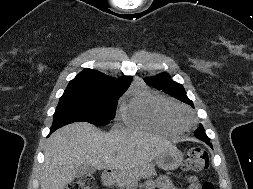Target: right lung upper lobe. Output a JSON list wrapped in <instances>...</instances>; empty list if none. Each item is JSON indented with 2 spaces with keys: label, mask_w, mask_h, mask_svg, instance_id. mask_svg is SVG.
Instances as JSON below:
<instances>
[{
  "label": "right lung upper lobe",
  "mask_w": 253,
  "mask_h": 189,
  "mask_svg": "<svg viewBox=\"0 0 253 189\" xmlns=\"http://www.w3.org/2000/svg\"><path fill=\"white\" fill-rule=\"evenodd\" d=\"M132 77L124 76L120 79L108 77L99 71L84 69L73 80L66 90L96 91V90H127Z\"/></svg>",
  "instance_id": "cb5924a9"
}]
</instances>
